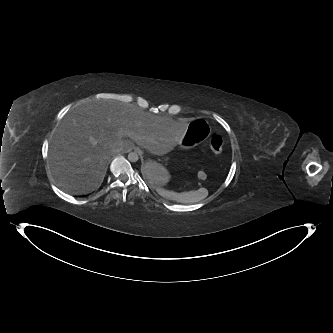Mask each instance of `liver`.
Masks as SVG:
<instances>
[{
  "mask_svg": "<svg viewBox=\"0 0 333 333\" xmlns=\"http://www.w3.org/2000/svg\"><path fill=\"white\" fill-rule=\"evenodd\" d=\"M185 133L183 121L145 112L137 105L90 100L60 122L50 142L49 168L63 190L88 194L102 183L115 153L137 143L154 155H164L178 146Z\"/></svg>",
  "mask_w": 333,
  "mask_h": 333,
  "instance_id": "1",
  "label": "liver"
}]
</instances>
